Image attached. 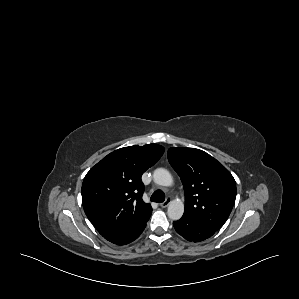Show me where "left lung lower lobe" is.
I'll return each mask as SVG.
<instances>
[{
  "label": "left lung lower lobe",
  "instance_id": "left-lung-lower-lobe-1",
  "mask_svg": "<svg viewBox=\"0 0 299 299\" xmlns=\"http://www.w3.org/2000/svg\"><path fill=\"white\" fill-rule=\"evenodd\" d=\"M173 225L177 233L188 241L200 242L214 234L213 231L202 225H196L185 217L175 221Z\"/></svg>",
  "mask_w": 299,
  "mask_h": 299
}]
</instances>
